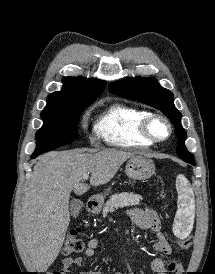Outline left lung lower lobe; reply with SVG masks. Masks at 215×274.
I'll list each match as a JSON object with an SVG mask.
<instances>
[{
    "label": "left lung lower lobe",
    "mask_w": 215,
    "mask_h": 274,
    "mask_svg": "<svg viewBox=\"0 0 215 274\" xmlns=\"http://www.w3.org/2000/svg\"><path fill=\"white\" fill-rule=\"evenodd\" d=\"M190 164L195 165V163H194V162H192V163H190Z\"/></svg>",
    "instance_id": "0a47b994"
}]
</instances>
